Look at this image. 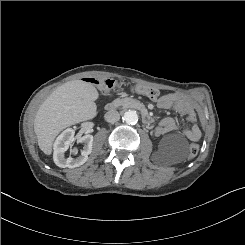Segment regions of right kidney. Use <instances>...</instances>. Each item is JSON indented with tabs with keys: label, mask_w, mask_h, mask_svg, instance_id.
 <instances>
[{
	"label": "right kidney",
	"mask_w": 245,
	"mask_h": 245,
	"mask_svg": "<svg viewBox=\"0 0 245 245\" xmlns=\"http://www.w3.org/2000/svg\"><path fill=\"white\" fill-rule=\"evenodd\" d=\"M74 135L75 131L68 128L58 136L54 143L53 159L55 164L61 168H75L83 165L87 161L88 155L92 152L93 136L85 135L79 139V142L84 145L81 155L77 158H65L64 153L69 149V146L73 145ZM73 152L76 153V150Z\"/></svg>",
	"instance_id": "1"
}]
</instances>
